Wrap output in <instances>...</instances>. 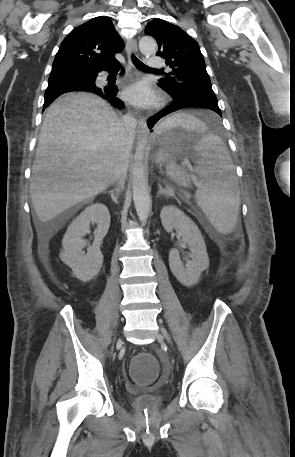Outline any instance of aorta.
<instances>
[{
  "mask_svg": "<svg viewBox=\"0 0 295 457\" xmlns=\"http://www.w3.org/2000/svg\"><path fill=\"white\" fill-rule=\"evenodd\" d=\"M156 43L151 37H142L139 42V49L142 54L148 55L155 51ZM144 144L139 143L134 154V165L132 170V191L133 201L139 220L147 222L151 200L148 191V174L143 164Z\"/></svg>",
  "mask_w": 295,
  "mask_h": 457,
  "instance_id": "aorta-1",
  "label": "aorta"
}]
</instances>
